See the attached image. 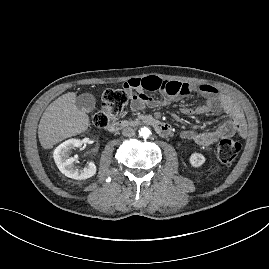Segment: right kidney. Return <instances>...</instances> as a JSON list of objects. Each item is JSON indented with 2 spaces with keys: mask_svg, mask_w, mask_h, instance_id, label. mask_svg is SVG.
Instances as JSON below:
<instances>
[{
  "mask_svg": "<svg viewBox=\"0 0 269 269\" xmlns=\"http://www.w3.org/2000/svg\"><path fill=\"white\" fill-rule=\"evenodd\" d=\"M84 144L80 139H69L60 144L54 150V161L59 170L67 177L76 180L88 179L96 174V165L93 162H88L85 167L77 168L75 162L76 157H70L69 153L72 149L81 147Z\"/></svg>",
  "mask_w": 269,
  "mask_h": 269,
  "instance_id": "right-kidney-1",
  "label": "right kidney"
}]
</instances>
